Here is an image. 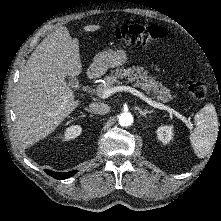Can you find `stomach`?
<instances>
[{"instance_id":"stomach-1","label":"stomach","mask_w":221,"mask_h":221,"mask_svg":"<svg viewBox=\"0 0 221 221\" xmlns=\"http://www.w3.org/2000/svg\"><path fill=\"white\" fill-rule=\"evenodd\" d=\"M127 55L125 50H108L98 53L89 67L90 74L94 76L103 75L108 68L120 66L126 62Z\"/></svg>"}]
</instances>
